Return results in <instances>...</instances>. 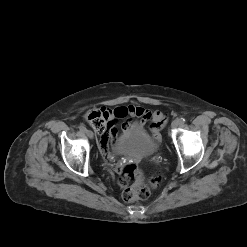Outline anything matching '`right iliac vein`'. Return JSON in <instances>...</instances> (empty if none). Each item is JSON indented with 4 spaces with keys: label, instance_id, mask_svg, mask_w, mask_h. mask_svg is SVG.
Listing matches in <instances>:
<instances>
[{
    "label": "right iliac vein",
    "instance_id": "1",
    "mask_svg": "<svg viewBox=\"0 0 247 247\" xmlns=\"http://www.w3.org/2000/svg\"><path fill=\"white\" fill-rule=\"evenodd\" d=\"M86 135L91 139L94 137V134L91 130H86Z\"/></svg>",
    "mask_w": 247,
    "mask_h": 247
}]
</instances>
